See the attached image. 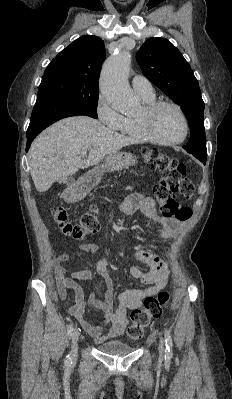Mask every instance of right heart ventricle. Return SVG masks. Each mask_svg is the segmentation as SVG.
Wrapping results in <instances>:
<instances>
[{
    "instance_id": "obj_1",
    "label": "right heart ventricle",
    "mask_w": 232,
    "mask_h": 399,
    "mask_svg": "<svg viewBox=\"0 0 232 399\" xmlns=\"http://www.w3.org/2000/svg\"><path fill=\"white\" fill-rule=\"evenodd\" d=\"M143 102L151 104L156 102L155 96H142ZM121 137L133 143H154L141 130L137 117H124L120 125L115 129Z\"/></svg>"
}]
</instances>
